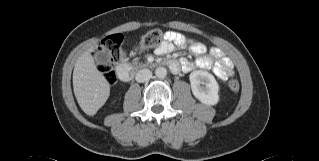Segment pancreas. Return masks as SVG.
Wrapping results in <instances>:
<instances>
[{
    "label": "pancreas",
    "mask_w": 319,
    "mask_h": 161,
    "mask_svg": "<svg viewBox=\"0 0 319 161\" xmlns=\"http://www.w3.org/2000/svg\"><path fill=\"white\" fill-rule=\"evenodd\" d=\"M132 64L134 65V66H139V67H142V66H144V64L143 63H138V60L137 59H135L133 62H132Z\"/></svg>",
    "instance_id": "obj_1"
}]
</instances>
